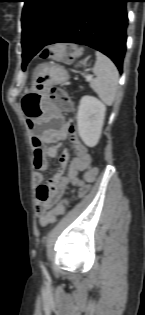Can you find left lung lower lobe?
Segmentation results:
<instances>
[{
    "instance_id": "0a47b994",
    "label": "left lung lower lobe",
    "mask_w": 145,
    "mask_h": 315,
    "mask_svg": "<svg viewBox=\"0 0 145 315\" xmlns=\"http://www.w3.org/2000/svg\"><path fill=\"white\" fill-rule=\"evenodd\" d=\"M130 0H74L60 27L45 42L28 34L22 37L23 59L30 60L43 47L54 43H76L108 56L122 72L126 52Z\"/></svg>"
}]
</instances>
